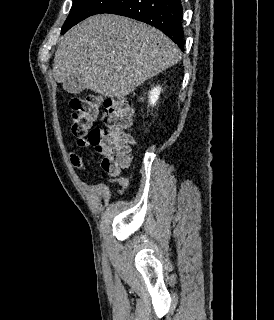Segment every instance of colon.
<instances>
[{
    "label": "colon",
    "mask_w": 274,
    "mask_h": 320,
    "mask_svg": "<svg viewBox=\"0 0 274 320\" xmlns=\"http://www.w3.org/2000/svg\"><path fill=\"white\" fill-rule=\"evenodd\" d=\"M71 134H84L91 138L94 149L104 152L102 169L111 176H117L120 168L127 165L134 139L129 133L132 126V110L122 98L103 102L98 95L85 98H71ZM103 109L102 120L106 127H94V121ZM122 194L128 187L127 179L118 177Z\"/></svg>",
    "instance_id": "5ec220e1"
}]
</instances>
